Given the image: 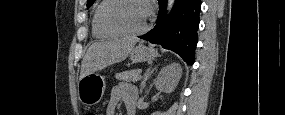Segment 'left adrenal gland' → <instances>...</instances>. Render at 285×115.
<instances>
[{
	"mask_svg": "<svg viewBox=\"0 0 285 115\" xmlns=\"http://www.w3.org/2000/svg\"><path fill=\"white\" fill-rule=\"evenodd\" d=\"M155 69L156 68L152 69V67H150L146 70L145 75H144L143 80H142L141 85H140V93L143 92L146 81L150 78L151 74L154 72Z\"/></svg>",
	"mask_w": 285,
	"mask_h": 115,
	"instance_id": "1",
	"label": "left adrenal gland"
}]
</instances>
